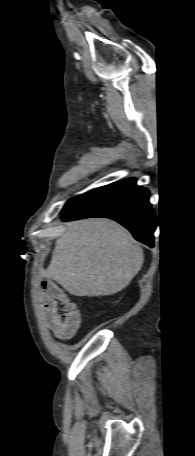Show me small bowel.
Instances as JSON below:
<instances>
[{"label": "small bowel", "instance_id": "small-bowel-1", "mask_svg": "<svg viewBox=\"0 0 195 456\" xmlns=\"http://www.w3.org/2000/svg\"><path fill=\"white\" fill-rule=\"evenodd\" d=\"M57 301H65L61 290L53 281H42L39 302L44 324L58 338L68 339L75 334L79 327L80 314L71 304H68V312L62 319L57 311Z\"/></svg>", "mask_w": 195, "mask_h": 456}]
</instances>
